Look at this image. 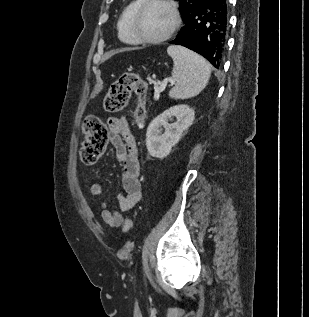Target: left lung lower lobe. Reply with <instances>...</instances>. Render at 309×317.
Wrapping results in <instances>:
<instances>
[{
  "mask_svg": "<svg viewBox=\"0 0 309 317\" xmlns=\"http://www.w3.org/2000/svg\"><path fill=\"white\" fill-rule=\"evenodd\" d=\"M184 23L178 37L169 43L187 47L220 68L227 43L228 0H205L184 18Z\"/></svg>",
  "mask_w": 309,
  "mask_h": 317,
  "instance_id": "left-lung-lower-lobe-1",
  "label": "left lung lower lobe"
}]
</instances>
